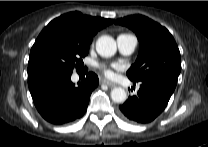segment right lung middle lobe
I'll return each mask as SVG.
<instances>
[{
  "label": "right lung middle lobe",
  "instance_id": "right-lung-middle-lobe-1",
  "mask_svg": "<svg viewBox=\"0 0 208 147\" xmlns=\"http://www.w3.org/2000/svg\"><path fill=\"white\" fill-rule=\"evenodd\" d=\"M89 44L68 36H53L31 49L28 72H69L80 69Z\"/></svg>",
  "mask_w": 208,
  "mask_h": 147
}]
</instances>
